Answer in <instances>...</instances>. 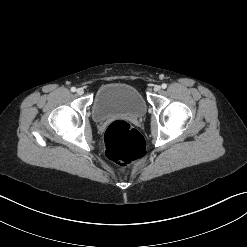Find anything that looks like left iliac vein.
<instances>
[{
	"mask_svg": "<svg viewBox=\"0 0 247 247\" xmlns=\"http://www.w3.org/2000/svg\"><path fill=\"white\" fill-rule=\"evenodd\" d=\"M160 90H161V86L156 85V86L154 87V91L158 92V91H160Z\"/></svg>",
	"mask_w": 247,
	"mask_h": 247,
	"instance_id": "4c4485c4",
	"label": "left iliac vein"
}]
</instances>
